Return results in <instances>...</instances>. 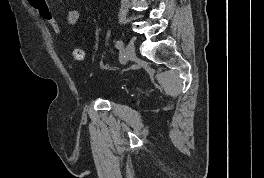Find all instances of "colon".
<instances>
[{"instance_id": "obj_1", "label": "colon", "mask_w": 264, "mask_h": 178, "mask_svg": "<svg viewBox=\"0 0 264 178\" xmlns=\"http://www.w3.org/2000/svg\"><path fill=\"white\" fill-rule=\"evenodd\" d=\"M28 3L39 13V15L43 18V20L56 32H61L60 23L50 9L46 0H27ZM71 55L75 60H83L85 57V51L83 48L77 47L71 51Z\"/></svg>"}]
</instances>
